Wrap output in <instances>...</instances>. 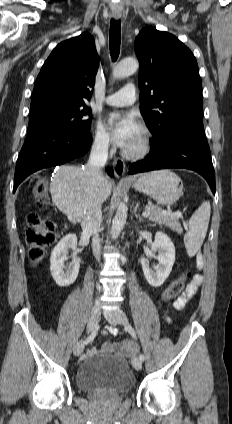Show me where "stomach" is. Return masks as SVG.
Segmentation results:
<instances>
[{
  "label": "stomach",
  "mask_w": 232,
  "mask_h": 424,
  "mask_svg": "<svg viewBox=\"0 0 232 424\" xmlns=\"http://www.w3.org/2000/svg\"><path fill=\"white\" fill-rule=\"evenodd\" d=\"M137 191L144 193L161 205H173L183 194L181 179L170 170L146 173L132 181Z\"/></svg>",
  "instance_id": "obj_1"
}]
</instances>
